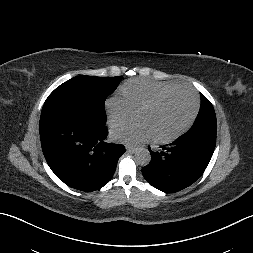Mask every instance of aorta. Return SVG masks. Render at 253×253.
<instances>
[{"label":"aorta","mask_w":253,"mask_h":253,"mask_svg":"<svg viewBox=\"0 0 253 253\" xmlns=\"http://www.w3.org/2000/svg\"><path fill=\"white\" fill-rule=\"evenodd\" d=\"M135 160L138 165L146 166L150 163L151 155L147 148L140 147L135 151Z\"/></svg>","instance_id":"762f6f07"}]
</instances>
